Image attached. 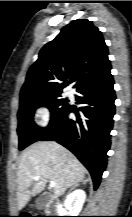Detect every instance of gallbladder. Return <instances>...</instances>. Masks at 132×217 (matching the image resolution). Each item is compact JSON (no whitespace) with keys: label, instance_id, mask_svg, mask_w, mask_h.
<instances>
[{"label":"gallbladder","instance_id":"obj_1","mask_svg":"<svg viewBox=\"0 0 132 217\" xmlns=\"http://www.w3.org/2000/svg\"><path fill=\"white\" fill-rule=\"evenodd\" d=\"M50 198H51L50 194H43L39 196L36 200V208L44 209L47 206Z\"/></svg>","mask_w":132,"mask_h":217}]
</instances>
